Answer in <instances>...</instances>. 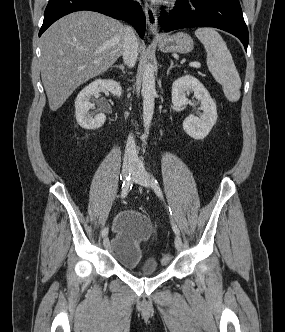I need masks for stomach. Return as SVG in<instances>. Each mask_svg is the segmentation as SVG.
Masks as SVG:
<instances>
[{
	"mask_svg": "<svg viewBox=\"0 0 285 332\" xmlns=\"http://www.w3.org/2000/svg\"><path fill=\"white\" fill-rule=\"evenodd\" d=\"M162 52H177L186 54L193 50L194 42L191 36L185 32L164 36L158 42Z\"/></svg>",
	"mask_w": 285,
	"mask_h": 332,
	"instance_id": "0dacf381",
	"label": "stomach"
}]
</instances>
